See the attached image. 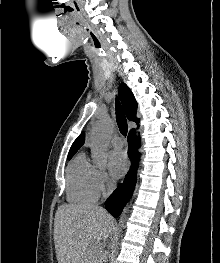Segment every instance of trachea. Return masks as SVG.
I'll return each mask as SVG.
<instances>
[{
  "label": "trachea",
  "instance_id": "3493384b",
  "mask_svg": "<svg viewBox=\"0 0 220 263\" xmlns=\"http://www.w3.org/2000/svg\"><path fill=\"white\" fill-rule=\"evenodd\" d=\"M116 120H117V124H118V128L121 132L122 135L126 136L127 135V131H128V126H127V120L124 114V111L122 109V106L118 100V98H116Z\"/></svg>",
  "mask_w": 220,
  "mask_h": 263
}]
</instances>
